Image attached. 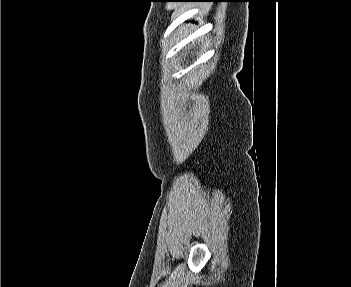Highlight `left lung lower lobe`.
Returning a JSON list of instances; mask_svg holds the SVG:
<instances>
[{
    "instance_id": "obj_1",
    "label": "left lung lower lobe",
    "mask_w": 351,
    "mask_h": 287,
    "mask_svg": "<svg viewBox=\"0 0 351 287\" xmlns=\"http://www.w3.org/2000/svg\"><path fill=\"white\" fill-rule=\"evenodd\" d=\"M180 1H188V0H180Z\"/></svg>"
}]
</instances>
